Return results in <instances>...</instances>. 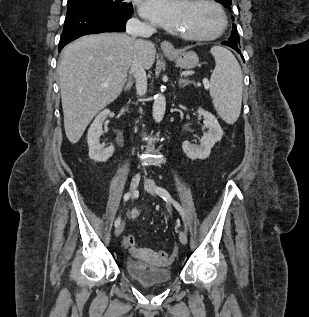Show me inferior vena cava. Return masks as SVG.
I'll list each match as a JSON object with an SVG mask.
<instances>
[{
  "instance_id": "obj_1",
  "label": "inferior vena cava",
  "mask_w": 309,
  "mask_h": 317,
  "mask_svg": "<svg viewBox=\"0 0 309 317\" xmlns=\"http://www.w3.org/2000/svg\"><path fill=\"white\" fill-rule=\"evenodd\" d=\"M155 28L149 24L141 23L138 19H130L126 23V32L130 35L134 43V56L131 63L130 73L136 81L137 94L142 96L147 91V77L141 60V49L143 40L137 37H150Z\"/></svg>"
}]
</instances>
